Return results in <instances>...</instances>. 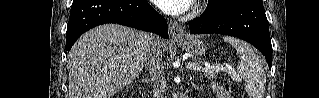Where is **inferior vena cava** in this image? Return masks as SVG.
Here are the masks:
<instances>
[{"label":"inferior vena cava","mask_w":319,"mask_h":98,"mask_svg":"<svg viewBox=\"0 0 319 98\" xmlns=\"http://www.w3.org/2000/svg\"><path fill=\"white\" fill-rule=\"evenodd\" d=\"M161 38L150 35L146 50V66L150 74L154 98H162L166 92V77L162 65Z\"/></svg>","instance_id":"1"}]
</instances>
